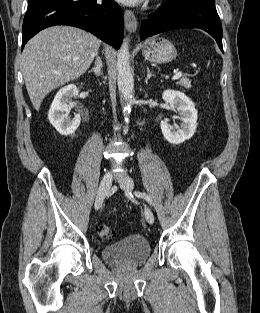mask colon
<instances>
[{
    "label": "colon",
    "instance_id": "1",
    "mask_svg": "<svg viewBox=\"0 0 260 313\" xmlns=\"http://www.w3.org/2000/svg\"><path fill=\"white\" fill-rule=\"evenodd\" d=\"M98 235L104 240L113 239V232L111 228L107 225L101 224L97 227Z\"/></svg>",
    "mask_w": 260,
    "mask_h": 313
}]
</instances>
